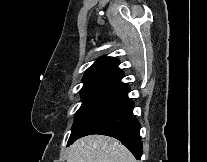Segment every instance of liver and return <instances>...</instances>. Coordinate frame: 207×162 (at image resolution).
Returning a JSON list of instances; mask_svg holds the SVG:
<instances>
[{"instance_id": "obj_1", "label": "liver", "mask_w": 207, "mask_h": 162, "mask_svg": "<svg viewBox=\"0 0 207 162\" xmlns=\"http://www.w3.org/2000/svg\"><path fill=\"white\" fill-rule=\"evenodd\" d=\"M67 162H137L132 153L117 139L89 135L69 148Z\"/></svg>"}]
</instances>
